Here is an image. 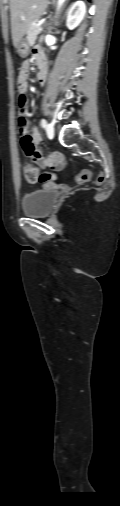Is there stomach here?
<instances>
[{
	"instance_id": "stomach-1",
	"label": "stomach",
	"mask_w": 120,
	"mask_h": 506,
	"mask_svg": "<svg viewBox=\"0 0 120 506\" xmlns=\"http://www.w3.org/2000/svg\"><path fill=\"white\" fill-rule=\"evenodd\" d=\"M15 48H16V53L19 55V57L25 58L29 54L30 45H29L27 39L22 38L19 41V43L15 46Z\"/></svg>"
}]
</instances>
